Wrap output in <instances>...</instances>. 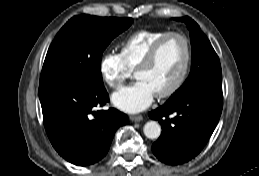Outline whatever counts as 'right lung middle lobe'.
Instances as JSON below:
<instances>
[{"label":"right lung middle lobe","instance_id":"obj_1","mask_svg":"<svg viewBox=\"0 0 259 176\" xmlns=\"http://www.w3.org/2000/svg\"><path fill=\"white\" fill-rule=\"evenodd\" d=\"M133 22L131 18L74 16L50 45L40 85L77 81L102 86L101 58L108 44Z\"/></svg>","mask_w":259,"mask_h":176}]
</instances>
